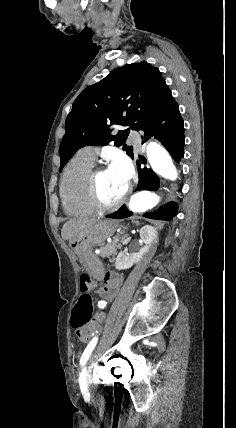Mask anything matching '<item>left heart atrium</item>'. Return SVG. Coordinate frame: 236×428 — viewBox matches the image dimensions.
<instances>
[{
  "label": "left heart atrium",
  "instance_id": "obj_1",
  "mask_svg": "<svg viewBox=\"0 0 236 428\" xmlns=\"http://www.w3.org/2000/svg\"><path fill=\"white\" fill-rule=\"evenodd\" d=\"M110 169L123 174L130 181L132 170L130 164L125 159L114 158L110 163Z\"/></svg>",
  "mask_w": 236,
  "mask_h": 428
}]
</instances>
